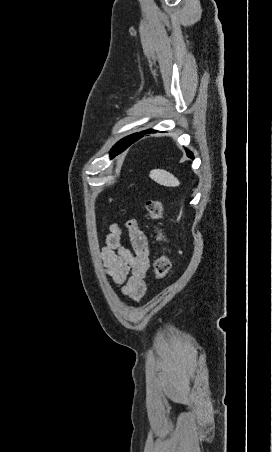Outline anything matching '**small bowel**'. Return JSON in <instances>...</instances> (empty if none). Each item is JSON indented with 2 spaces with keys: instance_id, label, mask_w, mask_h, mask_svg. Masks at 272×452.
Instances as JSON below:
<instances>
[{
  "instance_id": "small-bowel-1",
  "label": "small bowel",
  "mask_w": 272,
  "mask_h": 452,
  "mask_svg": "<svg viewBox=\"0 0 272 452\" xmlns=\"http://www.w3.org/2000/svg\"><path fill=\"white\" fill-rule=\"evenodd\" d=\"M125 228L130 247L123 244L121 228L113 224L100 255L107 277L123 295L139 301L146 291L145 277L150 267L148 241L136 220H127Z\"/></svg>"
}]
</instances>
